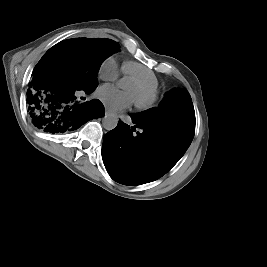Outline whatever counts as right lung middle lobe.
Masks as SVG:
<instances>
[{
	"instance_id": "dd1d6c3e",
	"label": "right lung middle lobe",
	"mask_w": 267,
	"mask_h": 267,
	"mask_svg": "<svg viewBox=\"0 0 267 267\" xmlns=\"http://www.w3.org/2000/svg\"><path fill=\"white\" fill-rule=\"evenodd\" d=\"M119 44L105 38H74L51 47L36 65L55 70L77 89L95 90L102 62L119 52Z\"/></svg>"
}]
</instances>
